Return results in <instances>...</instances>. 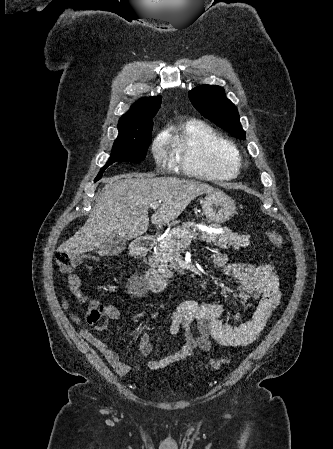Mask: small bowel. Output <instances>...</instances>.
I'll list each match as a JSON object with an SVG mask.
<instances>
[{
  "label": "small bowel",
  "mask_w": 333,
  "mask_h": 449,
  "mask_svg": "<svg viewBox=\"0 0 333 449\" xmlns=\"http://www.w3.org/2000/svg\"><path fill=\"white\" fill-rule=\"evenodd\" d=\"M209 260L216 267H225L227 258L223 253L209 255ZM228 271L239 279L237 304L242 308L240 313L224 318V308L221 304L188 300L182 302L171 316L170 333L177 335L184 332V340L180 348L164 358L147 361L149 369H162L180 362L191 356L195 350L207 352L212 343L223 347H243L253 342L266 327L272 313L280 303L282 292L279 279L270 264L252 265L236 264L228 267ZM70 291L88 308L97 304L89 300L81 288V280L71 274L68 277ZM63 307L68 309V301L63 298ZM107 317L117 320L120 316L114 307H108ZM246 315H249L246 317ZM73 320L78 318L71 314ZM196 325L197 333L192 332ZM102 331L103 326H98ZM82 337L96 347L107 359L115 371L125 376L135 370V367L122 362L118 354L103 340L87 329L81 330ZM139 352L148 357L152 352L150 336L144 333L139 338Z\"/></svg>",
  "instance_id": "c3829d8e"
}]
</instances>
